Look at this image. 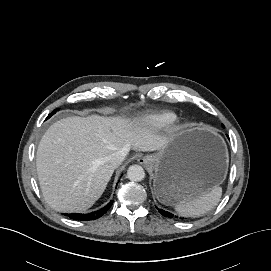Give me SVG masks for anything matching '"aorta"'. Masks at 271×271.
Returning a JSON list of instances; mask_svg holds the SVG:
<instances>
[{
	"mask_svg": "<svg viewBox=\"0 0 271 271\" xmlns=\"http://www.w3.org/2000/svg\"><path fill=\"white\" fill-rule=\"evenodd\" d=\"M127 177L131 181L139 182L144 180L145 178V171L139 165H132L128 168Z\"/></svg>",
	"mask_w": 271,
	"mask_h": 271,
	"instance_id": "1",
	"label": "aorta"
}]
</instances>
